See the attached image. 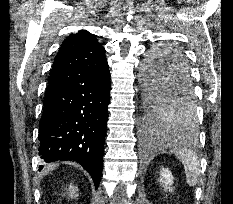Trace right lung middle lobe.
<instances>
[{"label":"right lung middle lobe","mask_w":233,"mask_h":204,"mask_svg":"<svg viewBox=\"0 0 233 204\" xmlns=\"http://www.w3.org/2000/svg\"><path fill=\"white\" fill-rule=\"evenodd\" d=\"M43 124H44V123H43V120H41V121H40V127H42Z\"/></svg>","instance_id":"dd1d6c3e"}]
</instances>
